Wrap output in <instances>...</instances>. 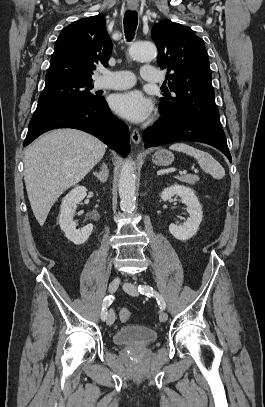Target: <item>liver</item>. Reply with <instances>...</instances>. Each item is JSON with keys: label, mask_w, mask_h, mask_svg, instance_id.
<instances>
[{"label": "liver", "mask_w": 265, "mask_h": 407, "mask_svg": "<svg viewBox=\"0 0 265 407\" xmlns=\"http://www.w3.org/2000/svg\"><path fill=\"white\" fill-rule=\"evenodd\" d=\"M105 150L99 139L77 129L51 131L28 146L24 181L32 211L41 226L59 196L80 182Z\"/></svg>", "instance_id": "6515ba94"}]
</instances>
